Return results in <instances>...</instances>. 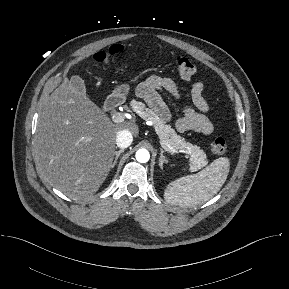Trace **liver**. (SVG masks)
Segmentation results:
<instances>
[{
    "label": "liver",
    "instance_id": "6515ba94",
    "mask_svg": "<svg viewBox=\"0 0 289 289\" xmlns=\"http://www.w3.org/2000/svg\"><path fill=\"white\" fill-rule=\"evenodd\" d=\"M122 129L139 132L133 122L112 123L85 91L64 79L38 119L34 160L39 174L71 199L92 196L110 172Z\"/></svg>",
    "mask_w": 289,
    "mask_h": 289
}]
</instances>
